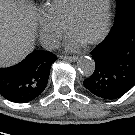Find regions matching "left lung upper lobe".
<instances>
[{"label":"left lung upper lobe","mask_w":135,"mask_h":135,"mask_svg":"<svg viewBox=\"0 0 135 135\" xmlns=\"http://www.w3.org/2000/svg\"><path fill=\"white\" fill-rule=\"evenodd\" d=\"M116 2L114 25L122 26L130 18L135 17V0H116Z\"/></svg>","instance_id":"5c2ea615"}]
</instances>
